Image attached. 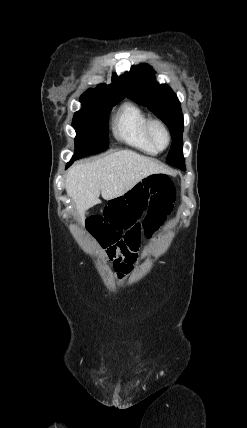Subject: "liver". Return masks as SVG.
<instances>
[{
	"instance_id": "1",
	"label": "liver",
	"mask_w": 247,
	"mask_h": 428,
	"mask_svg": "<svg viewBox=\"0 0 247 428\" xmlns=\"http://www.w3.org/2000/svg\"><path fill=\"white\" fill-rule=\"evenodd\" d=\"M168 170L131 150H120L92 162L74 165L66 176V191L83 221L85 211L105 200L124 195L142 179Z\"/></svg>"
}]
</instances>
